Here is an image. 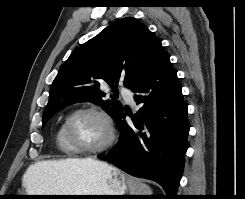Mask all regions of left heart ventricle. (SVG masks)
Returning a JSON list of instances; mask_svg holds the SVG:
<instances>
[{"instance_id":"obj_1","label":"left heart ventricle","mask_w":245,"mask_h":199,"mask_svg":"<svg viewBox=\"0 0 245 199\" xmlns=\"http://www.w3.org/2000/svg\"><path fill=\"white\" fill-rule=\"evenodd\" d=\"M74 141L82 147L95 148L103 144L108 136L105 123L94 114H80L70 124Z\"/></svg>"}]
</instances>
